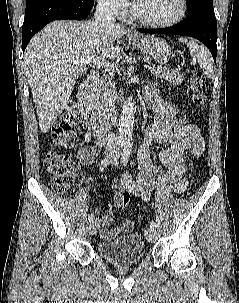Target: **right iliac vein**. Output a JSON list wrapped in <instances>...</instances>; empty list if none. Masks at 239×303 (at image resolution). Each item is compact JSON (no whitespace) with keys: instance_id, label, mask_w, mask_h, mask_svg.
<instances>
[{"instance_id":"1","label":"right iliac vein","mask_w":239,"mask_h":303,"mask_svg":"<svg viewBox=\"0 0 239 303\" xmlns=\"http://www.w3.org/2000/svg\"><path fill=\"white\" fill-rule=\"evenodd\" d=\"M99 228V223L97 220L92 221L88 226V231L90 235H94Z\"/></svg>"}]
</instances>
